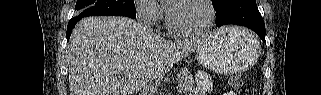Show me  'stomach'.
I'll return each mask as SVG.
<instances>
[{"label":"stomach","instance_id":"obj_1","mask_svg":"<svg viewBox=\"0 0 321 95\" xmlns=\"http://www.w3.org/2000/svg\"><path fill=\"white\" fill-rule=\"evenodd\" d=\"M260 53V44L254 34L241 28L224 27L201 42L197 59L205 68L234 74L254 64Z\"/></svg>","mask_w":321,"mask_h":95}]
</instances>
